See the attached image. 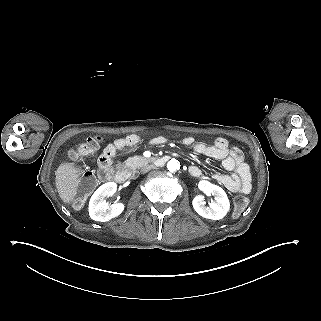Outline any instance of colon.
<instances>
[{
    "mask_svg": "<svg viewBox=\"0 0 321 321\" xmlns=\"http://www.w3.org/2000/svg\"><path fill=\"white\" fill-rule=\"evenodd\" d=\"M100 143H101V137L99 136L89 137L85 142L73 148L70 152V156L72 159L78 160L82 157L93 155L99 149ZM94 186H95L94 176L91 173H86L83 176L79 186L78 202H82L83 199L91 192ZM247 204H248V201L244 196L235 197L233 214L235 216H240L245 210V208L247 207Z\"/></svg>",
    "mask_w": 321,
    "mask_h": 321,
    "instance_id": "obj_1",
    "label": "colon"
}]
</instances>
